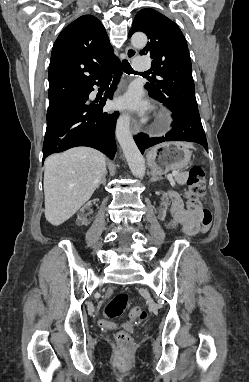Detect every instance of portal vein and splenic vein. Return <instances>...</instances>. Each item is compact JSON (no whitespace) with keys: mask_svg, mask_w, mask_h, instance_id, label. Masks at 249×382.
Returning <instances> with one entry per match:
<instances>
[{"mask_svg":"<svg viewBox=\"0 0 249 382\" xmlns=\"http://www.w3.org/2000/svg\"><path fill=\"white\" fill-rule=\"evenodd\" d=\"M177 172L176 171H173L172 174H171V177H176L177 176Z\"/></svg>","mask_w":249,"mask_h":382,"instance_id":"1","label":"portal vein and splenic vein"}]
</instances>
